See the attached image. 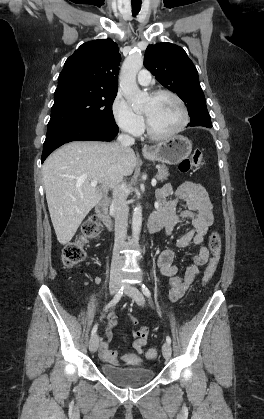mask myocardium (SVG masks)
<instances>
[{
  "label": "myocardium",
  "mask_w": 264,
  "mask_h": 419,
  "mask_svg": "<svg viewBox=\"0 0 264 419\" xmlns=\"http://www.w3.org/2000/svg\"><path fill=\"white\" fill-rule=\"evenodd\" d=\"M170 96L172 97L177 104L180 107L181 110V121L179 123V125L172 131L168 132V133H164V134H160V133H156L150 126L148 119L145 116V127H146V132L148 134V136L154 140H168L173 138L174 136H176L177 134H179L187 125L188 120H189V114H188V109L186 107V104L184 103V101L182 100V98L176 94L175 92L171 91V90H167V89H159V90H155L151 93V98H157L159 96Z\"/></svg>",
  "instance_id": "obj_1"
}]
</instances>
